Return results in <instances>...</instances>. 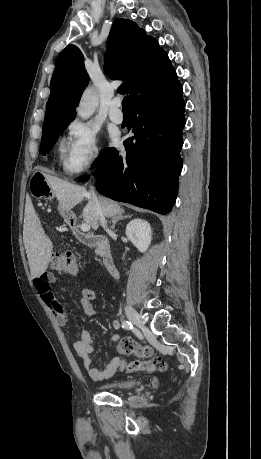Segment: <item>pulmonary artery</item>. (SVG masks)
Returning <instances> with one entry per match:
<instances>
[{"label":"pulmonary artery","mask_w":261,"mask_h":459,"mask_svg":"<svg viewBox=\"0 0 261 459\" xmlns=\"http://www.w3.org/2000/svg\"><path fill=\"white\" fill-rule=\"evenodd\" d=\"M121 101L119 99L112 100L109 109V117L110 119L117 124H121L123 122L124 116L120 110Z\"/></svg>","instance_id":"e3ab8cb5"}]
</instances>
